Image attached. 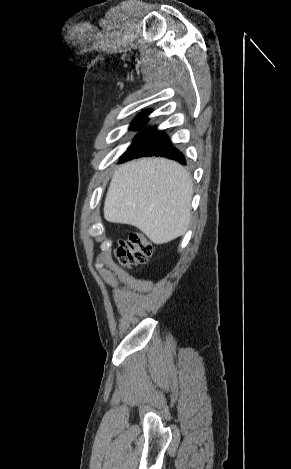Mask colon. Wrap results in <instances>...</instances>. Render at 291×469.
Here are the masks:
<instances>
[{
    "label": "colon",
    "mask_w": 291,
    "mask_h": 469,
    "mask_svg": "<svg viewBox=\"0 0 291 469\" xmlns=\"http://www.w3.org/2000/svg\"><path fill=\"white\" fill-rule=\"evenodd\" d=\"M151 242L141 233H133L118 243L116 256L127 267L145 264L152 255Z\"/></svg>",
    "instance_id": "obj_1"
}]
</instances>
